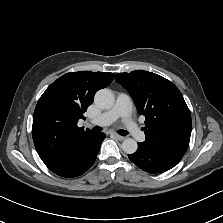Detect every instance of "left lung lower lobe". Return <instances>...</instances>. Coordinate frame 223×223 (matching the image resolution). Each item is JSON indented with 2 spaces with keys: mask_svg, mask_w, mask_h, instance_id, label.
I'll use <instances>...</instances> for the list:
<instances>
[{
  "mask_svg": "<svg viewBox=\"0 0 223 223\" xmlns=\"http://www.w3.org/2000/svg\"><path fill=\"white\" fill-rule=\"evenodd\" d=\"M138 167L149 173H161L173 168L183 154L162 149L149 142L138 143L135 153L128 155Z\"/></svg>",
  "mask_w": 223,
  "mask_h": 223,
  "instance_id": "1",
  "label": "left lung lower lobe"
}]
</instances>
